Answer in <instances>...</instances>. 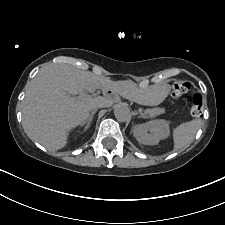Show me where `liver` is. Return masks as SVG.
I'll return each instance as SVG.
<instances>
[{
	"mask_svg": "<svg viewBox=\"0 0 225 225\" xmlns=\"http://www.w3.org/2000/svg\"><path fill=\"white\" fill-rule=\"evenodd\" d=\"M100 89L104 97H72L83 91ZM108 91L126 99L146 105V92L112 82L108 78L79 70L66 64H51L42 67L26 85L22 104V124L27 136L50 151L64 148L69 132L89 118L91 107L104 102L112 105Z\"/></svg>",
	"mask_w": 225,
	"mask_h": 225,
	"instance_id": "1",
	"label": "liver"
}]
</instances>
